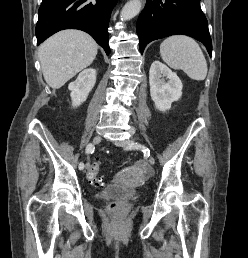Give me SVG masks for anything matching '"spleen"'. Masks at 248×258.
Segmentation results:
<instances>
[{
  "label": "spleen",
  "mask_w": 248,
  "mask_h": 258,
  "mask_svg": "<svg viewBox=\"0 0 248 258\" xmlns=\"http://www.w3.org/2000/svg\"><path fill=\"white\" fill-rule=\"evenodd\" d=\"M160 55L171 68L183 70L191 79L202 81L206 78L207 62L193 38L185 35L166 38L160 45Z\"/></svg>",
  "instance_id": "1"
}]
</instances>
